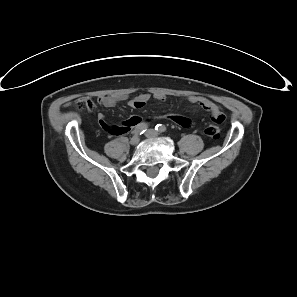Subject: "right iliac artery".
<instances>
[{"instance_id":"obj_1","label":"right iliac artery","mask_w":297,"mask_h":297,"mask_svg":"<svg viewBox=\"0 0 297 297\" xmlns=\"http://www.w3.org/2000/svg\"><path fill=\"white\" fill-rule=\"evenodd\" d=\"M147 127H148L147 124L140 123L139 125L136 126V128L133 131V133L135 135H138V134L141 135V134H143L146 131Z\"/></svg>"}]
</instances>
